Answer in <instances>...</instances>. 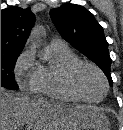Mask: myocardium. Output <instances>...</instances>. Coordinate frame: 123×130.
<instances>
[{
    "label": "myocardium",
    "mask_w": 123,
    "mask_h": 130,
    "mask_svg": "<svg viewBox=\"0 0 123 130\" xmlns=\"http://www.w3.org/2000/svg\"><path fill=\"white\" fill-rule=\"evenodd\" d=\"M82 68H91L94 71L98 73L100 78L102 79L104 83V93L99 99H89L85 97L81 91L79 90L77 83H76V76L77 73L82 69ZM62 79H63V84L66 88V90L78 101L86 102V103H98L104 99L106 96L108 90H109V83L108 80L104 74V72L95 64L83 60H76L68 65H66L63 69L62 72Z\"/></svg>",
    "instance_id": "1"
}]
</instances>
